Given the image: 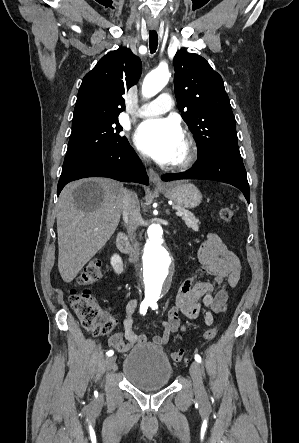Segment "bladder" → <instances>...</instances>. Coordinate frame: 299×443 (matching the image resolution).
I'll use <instances>...</instances> for the list:
<instances>
[{"label": "bladder", "mask_w": 299, "mask_h": 443, "mask_svg": "<svg viewBox=\"0 0 299 443\" xmlns=\"http://www.w3.org/2000/svg\"><path fill=\"white\" fill-rule=\"evenodd\" d=\"M122 373L136 388L154 391L166 387L172 378L173 367L160 347H134L123 361Z\"/></svg>", "instance_id": "31cf9c89"}]
</instances>
